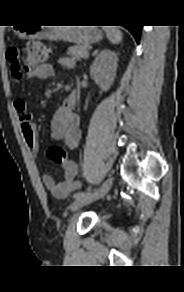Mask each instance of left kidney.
Here are the masks:
<instances>
[{
  "label": "left kidney",
  "instance_id": "left-kidney-1",
  "mask_svg": "<svg viewBox=\"0 0 184 292\" xmlns=\"http://www.w3.org/2000/svg\"><path fill=\"white\" fill-rule=\"evenodd\" d=\"M117 67V54L104 49L90 66V76L103 91H108L116 77Z\"/></svg>",
  "mask_w": 184,
  "mask_h": 292
}]
</instances>
